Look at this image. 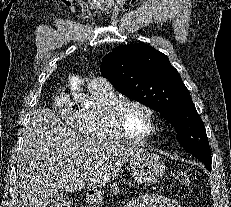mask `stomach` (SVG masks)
<instances>
[{
    "mask_svg": "<svg viewBox=\"0 0 231 207\" xmlns=\"http://www.w3.org/2000/svg\"><path fill=\"white\" fill-rule=\"evenodd\" d=\"M165 164L161 157L146 149L136 151L130 158V170L138 184L151 185L156 183L164 174ZM122 189L117 184H113L111 192L118 195ZM90 203L94 207H99L103 202L101 192H93L89 196Z\"/></svg>",
    "mask_w": 231,
    "mask_h": 207,
    "instance_id": "1",
    "label": "stomach"
}]
</instances>
